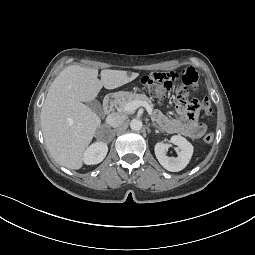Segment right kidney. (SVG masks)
I'll return each mask as SVG.
<instances>
[{
  "label": "right kidney",
  "mask_w": 255,
  "mask_h": 255,
  "mask_svg": "<svg viewBox=\"0 0 255 255\" xmlns=\"http://www.w3.org/2000/svg\"><path fill=\"white\" fill-rule=\"evenodd\" d=\"M108 152L107 144L96 142L89 146L84 152L83 161L87 165L98 164L106 157Z\"/></svg>",
  "instance_id": "1"
}]
</instances>
